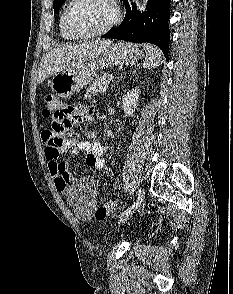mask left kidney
<instances>
[{"instance_id":"obj_1","label":"left kidney","mask_w":233,"mask_h":294,"mask_svg":"<svg viewBox=\"0 0 233 294\" xmlns=\"http://www.w3.org/2000/svg\"><path fill=\"white\" fill-rule=\"evenodd\" d=\"M139 90L132 89L123 97L122 108L126 116H132L138 105Z\"/></svg>"}]
</instances>
